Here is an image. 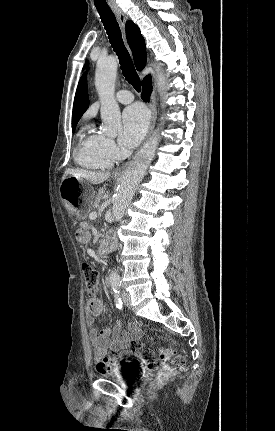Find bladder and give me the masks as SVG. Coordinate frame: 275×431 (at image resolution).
<instances>
[{
    "label": "bladder",
    "mask_w": 275,
    "mask_h": 431,
    "mask_svg": "<svg viewBox=\"0 0 275 431\" xmlns=\"http://www.w3.org/2000/svg\"><path fill=\"white\" fill-rule=\"evenodd\" d=\"M129 367L130 366H127V368L126 367H117V368H114V369L107 371V372H101V375L103 377L116 378L119 381L127 383L128 382L127 369H129Z\"/></svg>",
    "instance_id": "obj_1"
}]
</instances>
